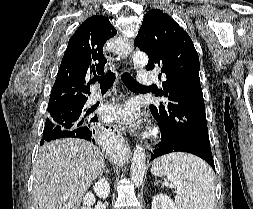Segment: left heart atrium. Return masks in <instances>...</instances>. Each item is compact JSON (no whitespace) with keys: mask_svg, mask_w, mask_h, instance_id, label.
<instances>
[{"mask_svg":"<svg viewBox=\"0 0 253 209\" xmlns=\"http://www.w3.org/2000/svg\"><path fill=\"white\" fill-rule=\"evenodd\" d=\"M104 119L125 126H135L139 121V113L135 104L126 102L119 105H111L104 109Z\"/></svg>","mask_w":253,"mask_h":209,"instance_id":"1","label":"left heart atrium"}]
</instances>
